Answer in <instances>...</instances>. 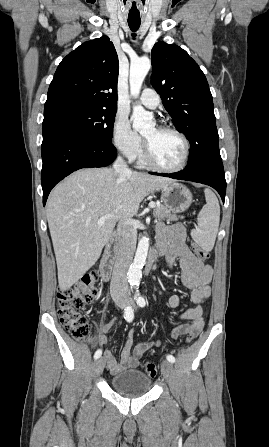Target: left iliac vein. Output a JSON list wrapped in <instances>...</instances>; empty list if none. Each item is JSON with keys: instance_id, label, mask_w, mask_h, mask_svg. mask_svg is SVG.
I'll use <instances>...</instances> for the list:
<instances>
[{"instance_id": "left-iliac-vein-1", "label": "left iliac vein", "mask_w": 269, "mask_h": 447, "mask_svg": "<svg viewBox=\"0 0 269 447\" xmlns=\"http://www.w3.org/2000/svg\"><path fill=\"white\" fill-rule=\"evenodd\" d=\"M161 371L165 379H170L174 372L173 364L169 361H163L161 364Z\"/></svg>"}]
</instances>
